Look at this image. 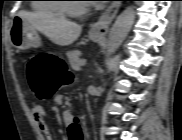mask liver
<instances>
[{"label": "liver", "instance_id": "6515ba94", "mask_svg": "<svg viewBox=\"0 0 182 140\" xmlns=\"http://www.w3.org/2000/svg\"><path fill=\"white\" fill-rule=\"evenodd\" d=\"M19 16L25 18L35 30L61 46H67L76 41L82 29L77 23L57 18L51 14L21 11Z\"/></svg>", "mask_w": 182, "mask_h": 140}]
</instances>
